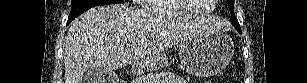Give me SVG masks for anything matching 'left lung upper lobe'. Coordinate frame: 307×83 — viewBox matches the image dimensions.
Returning a JSON list of instances; mask_svg holds the SVG:
<instances>
[{"label": "left lung upper lobe", "mask_w": 307, "mask_h": 83, "mask_svg": "<svg viewBox=\"0 0 307 83\" xmlns=\"http://www.w3.org/2000/svg\"><path fill=\"white\" fill-rule=\"evenodd\" d=\"M228 2H229V8H230L231 16H232L231 23L234 25L235 28H240L238 20H237L235 14H234L233 6H234L235 0H228Z\"/></svg>", "instance_id": "5c2ea615"}]
</instances>
